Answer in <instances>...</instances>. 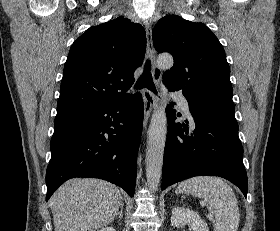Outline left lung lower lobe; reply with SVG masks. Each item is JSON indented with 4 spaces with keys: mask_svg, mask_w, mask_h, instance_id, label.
<instances>
[{
    "mask_svg": "<svg viewBox=\"0 0 280 231\" xmlns=\"http://www.w3.org/2000/svg\"><path fill=\"white\" fill-rule=\"evenodd\" d=\"M171 106L167 108L169 126L161 189L194 176L211 175L231 181L246 197L248 181L234 111L189 103L196 125L189 133L188 125L182 128L174 122Z\"/></svg>",
    "mask_w": 280,
    "mask_h": 231,
    "instance_id": "1",
    "label": "left lung lower lobe"
}]
</instances>
